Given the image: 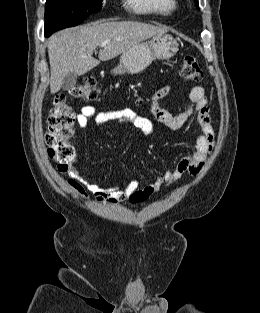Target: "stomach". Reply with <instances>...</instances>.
I'll use <instances>...</instances> for the list:
<instances>
[{
	"label": "stomach",
	"instance_id": "obj_1",
	"mask_svg": "<svg viewBox=\"0 0 260 313\" xmlns=\"http://www.w3.org/2000/svg\"><path fill=\"white\" fill-rule=\"evenodd\" d=\"M179 44L167 33L155 35L148 42H140L123 52L120 62L113 69V74H138L146 69L155 59H169L177 51Z\"/></svg>",
	"mask_w": 260,
	"mask_h": 313
}]
</instances>
